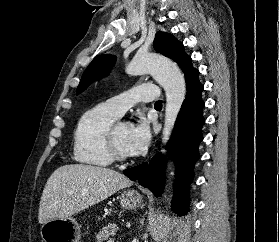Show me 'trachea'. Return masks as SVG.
<instances>
[{
	"label": "trachea",
	"instance_id": "obj_1",
	"mask_svg": "<svg viewBox=\"0 0 279 242\" xmlns=\"http://www.w3.org/2000/svg\"><path fill=\"white\" fill-rule=\"evenodd\" d=\"M155 107H162V101H161V100H158V101L155 103Z\"/></svg>",
	"mask_w": 279,
	"mask_h": 242
}]
</instances>
